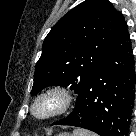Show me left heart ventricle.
Here are the masks:
<instances>
[{"instance_id":"1","label":"left heart ventricle","mask_w":136,"mask_h":136,"mask_svg":"<svg viewBox=\"0 0 136 136\" xmlns=\"http://www.w3.org/2000/svg\"><path fill=\"white\" fill-rule=\"evenodd\" d=\"M54 107V102L52 101H45V102H42L38 108H37V111L38 113H47L49 112L50 110H52Z\"/></svg>"}]
</instances>
